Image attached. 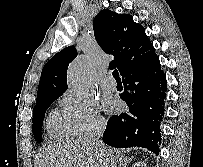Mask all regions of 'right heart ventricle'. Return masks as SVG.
<instances>
[{
    "label": "right heart ventricle",
    "instance_id": "right-heart-ventricle-1",
    "mask_svg": "<svg viewBox=\"0 0 203 167\" xmlns=\"http://www.w3.org/2000/svg\"><path fill=\"white\" fill-rule=\"evenodd\" d=\"M46 128L48 135L54 139L66 138L70 135L64 120L55 111L50 113Z\"/></svg>",
    "mask_w": 203,
    "mask_h": 167
}]
</instances>
